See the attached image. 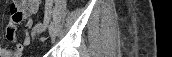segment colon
I'll return each instance as SVG.
<instances>
[{
    "instance_id": "1",
    "label": "colon",
    "mask_w": 172,
    "mask_h": 57,
    "mask_svg": "<svg viewBox=\"0 0 172 57\" xmlns=\"http://www.w3.org/2000/svg\"><path fill=\"white\" fill-rule=\"evenodd\" d=\"M44 29H45V25L42 24V23H38V24L35 26L34 32H36V33L39 34V33L43 32Z\"/></svg>"
}]
</instances>
